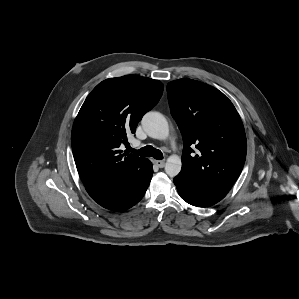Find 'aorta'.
I'll return each mask as SVG.
<instances>
[{
  "mask_svg": "<svg viewBox=\"0 0 299 299\" xmlns=\"http://www.w3.org/2000/svg\"><path fill=\"white\" fill-rule=\"evenodd\" d=\"M144 131L154 139L165 140L169 136V126L166 118L159 112H147L141 121ZM182 167L181 158L178 155L168 157L165 164V172L170 177L179 174Z\"/></svg>",
  "mask_w": 299,
  "mask_h": 299,
  "instance_id": "aorta-1",
  "label": "aorta"
}]
</instances>
